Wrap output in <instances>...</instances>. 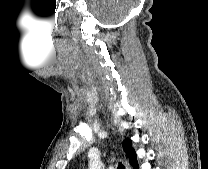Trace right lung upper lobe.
<instances>
[{
    "instance_id": "right-lung-upper-lobe-1",
    "label": "right lung upper lobe",
    "mask_w": 208,
    "mask_h": 169,
    "mask_svg": "<svg viewBox=\"0 0 208 169\" xmlns=\"http://www.w3.org/2000/svg\"><path fill=\"white\" fill-rule=\"evenodd\" d=\"M123 147L129 157L130 162L134 166L137 163V156H136L134 148L131 146V140L127 138L123 142Z\"/></svg>"
}]
</instances>
